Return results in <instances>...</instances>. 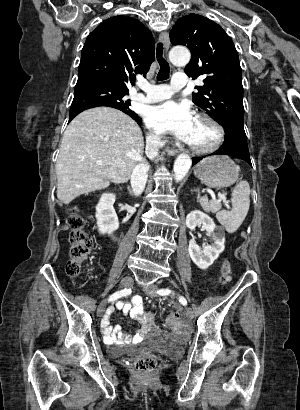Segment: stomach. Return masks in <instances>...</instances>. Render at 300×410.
<instances>
[{
	"instance_id": "stomach-1",
	"label": "stomach",
	"mask_w": 300,
	"mask_h": 410,
	"mask_svg": "<svg viewBox=\"0 0 300 410\" xmlns=\"http://www.w3.org/2000/svg\"><path fill=\"white\" fill-rule=\"evenodd\" d=\"M194 174L205 185L222 188L238 180L239 167L227 156H213L197 164Z\"/></svg>"
}]
</instances>
